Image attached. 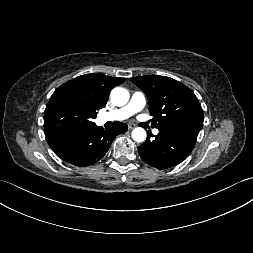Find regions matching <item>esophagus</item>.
Wrapping results in <instances>:
<instances>
[{"label": "esophagus", "mask_w": 253, "mask_h": 253, "mask_svg": "<svg viewBox=\"0 0 253 253\" xmlns=\"http://www.w3.org/2000/svg\"><path fill=\"white\" fill-rule=\"evenodd\" d=\"M136 127V124L134 123H129L128 124V128L131 130V129H134Z\"/></svg>", "instance_id": "34e87169"}]
</instances>
